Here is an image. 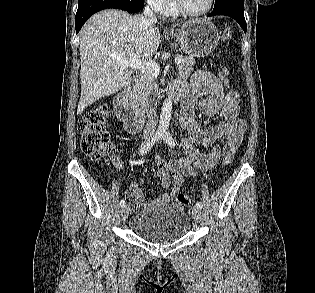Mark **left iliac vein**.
Instances as JSON below:
<instances>
[{
  "instance_id": "1",
  "label": "left iliac vein",
  "mask_w": 315,
  "mask_h": 293,
  "mask_svg": "<svg viewBox=\"0 0 315 293\" xmlns=\"http://www.w3.org/2000/svg\"><path fill=\"white\" fill-rule=\"evenodd\" d=\"M192 216L196 222H199L201 219V209L197 206H194L192 209Z\"/></svg>"
}]
</instances>
